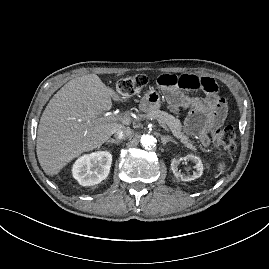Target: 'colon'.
<instances>
[{"label": "colon", "mask_w": 269, "mask_h": 269, "mask_svg": "<svg viewBox=\"0 0 269 269\" xmlns=\"http://www.w3.org/2000/svg\"><path fill=\"white\" fill-rule=\"evenodd\" d=\"M147 84L145 75H135L120 80L117 85L118 92L125 96L136 95ZM235 130L232 126L226 125L218 127L212 134L213 145L226 151H232L235 146Z\"/></svg>", "instance_id": "colon-1"}]
</instances>
